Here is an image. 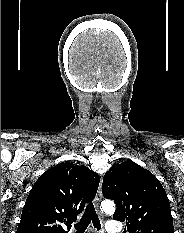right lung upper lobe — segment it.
Segmentation results:
<instances>
[{"instance_id":"right-lung-upper-lobe-1","label":"right lung upper lobe","mask_w":184,"mask_h":233,"mask_svg":"<svg viewBox=\"0 0 184 233\" xmlns=\"http://www.w3.org/2000/svg\"><path fill=\"white\" fill-rule=\"evenodd\" d=\"M99 181V175L84 165L66 161L51 167L33 185L16 233H68L95 197Z\"/></svg>"}]
</instances>
